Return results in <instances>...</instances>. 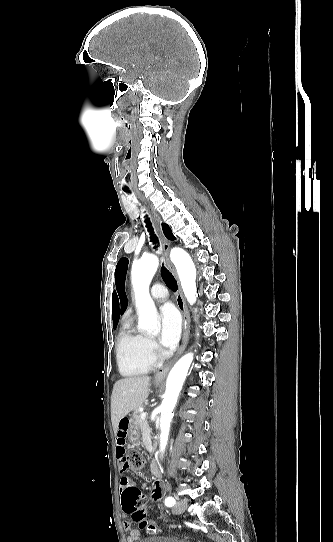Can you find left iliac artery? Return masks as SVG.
Segmentation results:
<instances>
[{
  "label": "left iliac artery",
  "mask_w": 333,
  "mask_h": 542,
  "mask_svg": "<svg viewBox=\"0 0 333 542\" xmlns=\"http://www.w3.org/2000/svg\"><path fill=\"white\" fill-rule=\"evenodd\" d=\"M175 504V499L173 497H167L165 499L166 506H173Z\"/></svg>",
  "instance_id": "44dca946"
}]
</instances>
